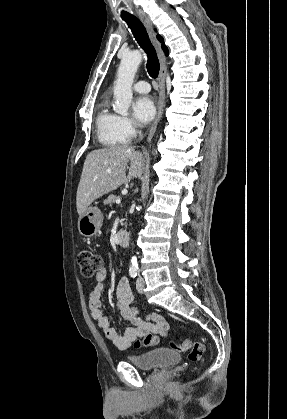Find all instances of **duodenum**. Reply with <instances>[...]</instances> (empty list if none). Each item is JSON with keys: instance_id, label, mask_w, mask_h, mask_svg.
I'll use <instances>...</instances> for the list:
<instances>
[{"instance_id": "duodenum-1", "label": "duodenum", "mask_w": 287, "mask_h": 419, "mask_svg": "<svg viewBox=\"0 0 287 419\" xmlns=\"http://www.w3.org/2000/svg\"><path fill=\"white\" fill-rule=\"evenodd\" d=\"M130 242V236L129 233L126 231H119L116 235V243L122 247L126 248L128 247Z\"/></svg>"}]
</instances>
